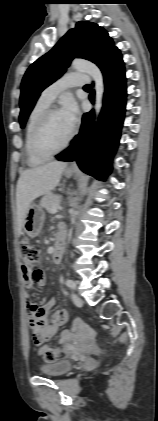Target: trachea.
<instances>
[{
    "label": "trachea",
    "mask_w": 158,
    "mask_h": 421,
    "mask_svg": "<svg viewBox=\"0 0 158 421\" xmlns=\"http://www.w3.org/2000/svg\"><path fill=\"white\" fill-rule=\"evenodd\" d=\"M84 87H85V88H90V85H88V84H87V85H85Z\"/></svg>",
    "instance_id": "3493384b"
}]
</instances>
